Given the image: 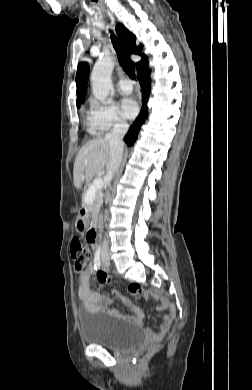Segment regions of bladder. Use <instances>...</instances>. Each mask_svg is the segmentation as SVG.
Listing matches in <instances>:
<instances>
[{"label":"bladder","mask_w":252,"mask_h":390,"mask_svg":"<svg viewBox=\"0 0 252 390\" xmlns=\"http://www.w3.org/2000/svg\"><path fill=\"white\" fill-rule=\"evenodd\" d=\"M80 331L85 342L114 350L131 349L144 337L143 328L135 323L110 320L85 311L78 314Z\"/></svg>","instance_id":"obj_1"}]
</instances>
